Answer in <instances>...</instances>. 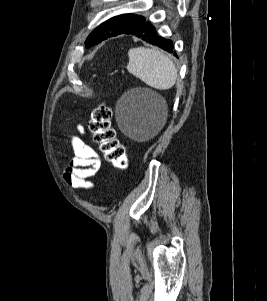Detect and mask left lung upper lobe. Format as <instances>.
<instances>
[{"label": "left lung upper lobe", "mask_w": 267, "mask_h": 301, "mask_svg": "<svg viewBox=\"0 0 267 301\" xmlns=\"http://www.w3.org/2000/svg\"><path fill=\"white\" fill-rule=\"evenodd\" d=\"M144 17L134 14H122L110 18L98 26L86 39V47H91L107 38L123 34L144 21Z\"/></svg>", "instance_id": "1"}]
</instances>
